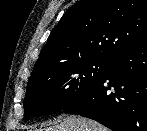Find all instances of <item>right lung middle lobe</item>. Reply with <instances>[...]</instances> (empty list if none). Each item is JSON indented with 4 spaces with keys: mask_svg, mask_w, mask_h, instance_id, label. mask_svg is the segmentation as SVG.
I'll return each instance as SVG.
<instances>
[{
    "mask_svg": "<svg viewBox=\"0 0 147 131\" xmlns=\"http://www.w3.org/2000/svg\"><path fill=\"white\" fill-rule=\"evenodd\" d=\"M108 59H86L30 77L24 101L25 118L64 110L88 93L107 74Z\"/></svg>",
    "mask_w": 147,
    "mask_h": 131,
    "instance_id": "1",
    "label": "right lung middle lobe"
}]
</instances>
